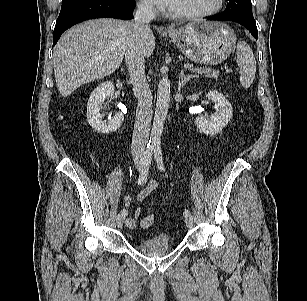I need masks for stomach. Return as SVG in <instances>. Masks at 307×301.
Masks as SVG:
<instances>
[{
  "mask_svg": "<svg viewBox=\"0 0 307 301\" xmlns=\"http://www.w3.org/2000/svg\"><path fill=\"white\" fill-rule=\"evenodd\" d=\"M169 37L187 58L210 65L227 59L236 43L234 31L221 22L189 23L169 31Z\"/></svg>",
  "mask_w": 307,
  "mask_h": 301,
  "instance_id": "0dacf381",
  "label": "stomach"
}]
</instances>
